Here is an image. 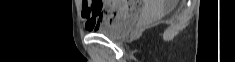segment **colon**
Returning <instances> with one entry per match:
<instances>
[{
  "mask_svg": "<svg viewBox=\"0 0 235 62\" xmlns=\"http://www.w3.org/2000/svg\"><path fill=\"white\" fill-rule=\"evenodd\" d=\"M126 3V1L113 2L110 23L118 22L120 19L128 15L131 11H134L138 8V5L134 6L133 8L127 7ZM101 7H103L102 3H94L95 9H100Z\"/></svg>",
  "mask_w": 235,
  "mask_h": 62,
  "instance_id": "obj_1",
  "label": "colon"
}]
</instances>
